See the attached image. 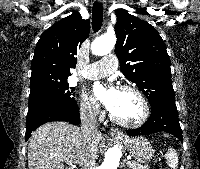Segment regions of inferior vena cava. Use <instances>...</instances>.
<instances>
[{
  "label": "inferior vena cava",
  "instance_id": "602c4592",
  "mask_svg": "<svg viewBox=\"0 0 200 169\" xmlns=\"http://www.w3.org/2000/svg\"><path fill=\"white\" fill-rule=\"evenodd\" d=\"M99 123L97 122V107L91 106L86 108L81 113V132L87 142L90 141L91 136L99 133ZM95 160H85L82 169H93Z\"/></svg>",
  "mask_w": 200,
  "mask_h": 169
}]
</instances>
